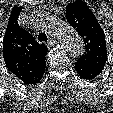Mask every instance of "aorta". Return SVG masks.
<instances>
[{"label":"aorta","mask_w":113,"mask_h":113,"mask_svg":"<svg viewBox=\"0 0 113 113\" xmlns=\"http://www.w3.org/2000/svg\"><path fill=\"white\" fill-rule=\"evenodd\" d=\"M43 20L46 28L62 41L69 53L74 57L84 54V42L69 24L60 21L52 15H46Z\"/></svg>","instance_id":"762f6f07"}]
</instances>
